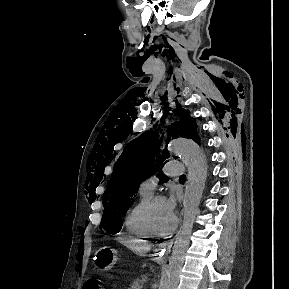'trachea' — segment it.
Returning <instances> with one entry per match:
<instances>
[{
  "label": "trachea",
  "mask_w": 289,
  "mask_h": 289,
  "mask_svg": "<svg viewBox=\"0 0 289 289\" xmlns=\"http://www.w3.org/2000/svg\"><path fill=\"white\" fill-rule=\"evenodd\" d=\"M179 179H186L185 175H181Z\"/></svg>",
  "instance_id": "1"
}]
</instances>
